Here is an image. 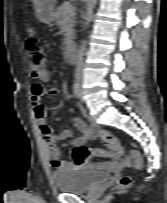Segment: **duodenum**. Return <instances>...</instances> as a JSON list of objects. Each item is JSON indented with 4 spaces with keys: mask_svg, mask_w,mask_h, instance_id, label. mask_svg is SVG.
Listing matches in <instances>:
<instances>
[{
    "mask_svg": "<svg viewBox=\"0 0 167 203\" xmlns=\"http://www.w3.org/2000/svg\"><path fill=\"white\" fill-rule=\"evenodd\" d=\"M66 59L68 62L72 63L75 61V47L74 45H69L66 49Z\"/></svg>",
    "mask_w": 167,
    "mask_h": 203,
    "instance_id": "obj_1",
    "label": "duodenum"
}]
</instances>
